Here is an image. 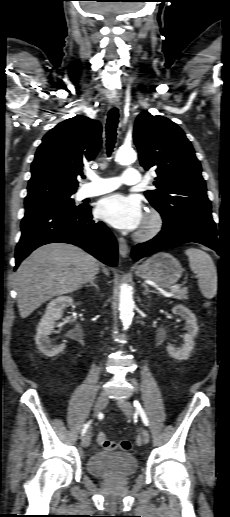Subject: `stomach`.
<instances>
[{"label": "stomach", "mask_w": 230, "mask_h": 517, "mask_svg": "<svg viewBox=\"0 0 230 517\" xmlns=\"http://www.w3.org/2000/svg\"><path fill=\"white\" fill-rule=\"evenodd\" d=\"M182 271L179 261L164 252L153 255L135 269L137 276L164 288L174 285L181 277Z\"/></svg>", "instance_id": "0dacf381"}]
</instances>
